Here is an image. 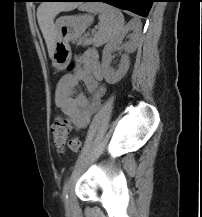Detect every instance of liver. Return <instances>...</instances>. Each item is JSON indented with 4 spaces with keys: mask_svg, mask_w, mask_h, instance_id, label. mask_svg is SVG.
<instances>
[{
    "mask_svg": "<svg viewBox=\"0 0 202 217\" xmlns=\"http://www.w3.org/2000/svg\"><path fill=\"white\" fill-rule=\"evenodd\" d=\"M77 6V3L43 2L38 7V24L47 44V49L50 58H52L53 56V48L56 37L54 18L59 12L70 11L75 9Z\"/></svg>",
    "mask_w": 202,
    "mask_h": 217,
    "instance_id": "6515ba94",
    "label": "liver"
}]
</instances>
